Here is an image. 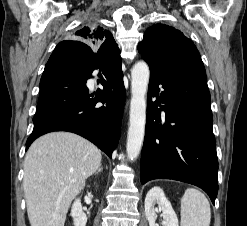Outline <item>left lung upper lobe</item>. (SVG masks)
I'll return each instance as SVG.
<instances>
[{"label": "left lung upper lobe", "mask_w": 247, "mask_h": 226, "mask_svg": "<svg viewBox=\"0 0 247 226\" xmlns=\"http://www.w3.org/2000/svg\"><path fill=\"white\" fill-rule=\"evenodd\" d=\"M141 57L150 68L165 73L184 69L205 72L201 56L194 43L174 27L157 23L148 28L138 45Z\"/></svg>", "instance_id": "obj_1"}]
</instances>
